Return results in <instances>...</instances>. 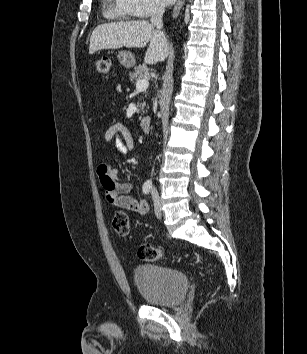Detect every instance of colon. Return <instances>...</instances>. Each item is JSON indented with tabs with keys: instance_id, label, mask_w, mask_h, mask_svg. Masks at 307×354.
<instances>
[{
	"instance_id": "5ec220e1",
	"label": "colon",
	"mask_w": 307,
	"mask_h": 354,
	"mask_svg": "<svg viewBox=\"0 0 307 354\" xmlns=\"http://www.w3.org/2000/svg\"><path fill=\"white\" fill-rule=\"evenodd\" d=\"M97 73L101 76L108 75L111 67V61L108 57L104 56L97 59L94 63ZM112 226L114 231L121 237L128 236L130 231L128 215L123 211L115 213ZM163 252L149 244H142L138 248V257L141 260L148 262H157L163 258Z\"/></svg>"
}]
</instances>
